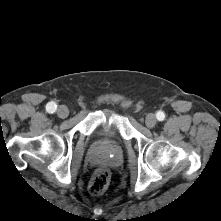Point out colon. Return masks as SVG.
Wrapping results in <instances>:
<instances>
[{"label": "colon", "mask_w": 221, "mask_h": 221, "mask_svg": "<svg viewBox=\"0 0 221 221\" xmlns=\"http://www.w3.org/2000/svg\"><path fill=\"white\" fill-rule=\"evenodd\" d=\"M110 182V172L107 169L97 170L89 184V191L93 195H99L106 191Z\"/></svg>", "instance_id": "obj_1"}]
</instances>
